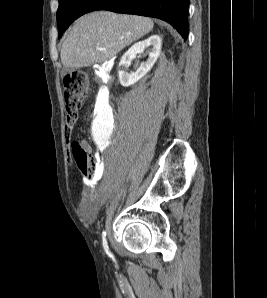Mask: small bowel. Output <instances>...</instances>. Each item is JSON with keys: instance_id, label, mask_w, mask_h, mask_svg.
Instances as JSON below:
<instances>
[{"instance_id": "1", "label": "small bowel", "mask_w": 267, "mask_h": 298, "mask_svg": "<svg viewBox=\"0 0 267 298\" xmlns=\"http://www.w3.org/2000/svg\"><path fill=\"white\" fill-rule=\"evenodd\" d=\"M107 197V194L98 191L95 187L86 185L81 192L78 205L81 215L87 220H93L99 206L106 201Z\"/></svg>"}]
</instances>
